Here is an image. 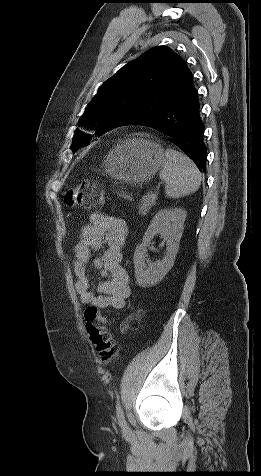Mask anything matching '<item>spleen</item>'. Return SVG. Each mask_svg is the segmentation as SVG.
Wrapping results in <instances>:
<instances>
[{
  "label": "spleen",
  "instance_id": "spleen-1",
  "mask_svg": "<svg viewBox=\"0 0 261 476\" xmlns=\"http://www.w3.org/2000/svg\"><path fill=\"white\" fill-rule=\"evenodd\" d=\"M165 162L159 173L165 182V194L169 198H180L196 192L201 185V173L194 162L182 152L167 149Z\"/></svg>",
  "mask_w": 261,
  "mask_h": 476
}]
</instances>
